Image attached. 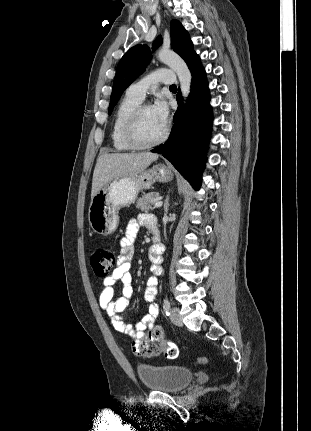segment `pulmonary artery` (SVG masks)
<instances>
[{"instance_id": "obj_1", "label": "pulmonary artery", "mask_w": 311, "mask_h": 431, "mask_svg": "<svg viewBox=\"0 0 311 431\" xmlns=\"http://www.w3.org/2000/svg\"><path fill=\"white\" fill-rule=\"evenodd\" d=\"M171 71L167 69H157L147 76L143 77L139 81L133 83L128 88V91L140 99H143L145 93L151 89L156 87L159 83L163 84H171L174 81V78L170 76Z\"/></svg>"}]
</instances>
